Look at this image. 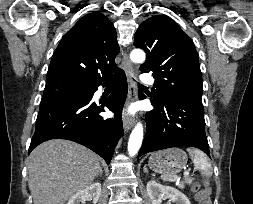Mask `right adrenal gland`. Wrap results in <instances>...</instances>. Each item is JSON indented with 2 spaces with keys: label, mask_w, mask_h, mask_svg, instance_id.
I'll use <instances>...</instances> for the list:
<instances>
[{
  "label": "right adrenal gland",
  "mask_w": 253,
  "mask_h": 204,
  "mask_svg": "<svg viewBox=\"0 0 253 204\" xmlns=\"http://www.w3.org/2000/svg\"><path fill=\"white\" fill-rule=\"evenodd\" d=\"M98 176H101V177L103 176V170H102V167H100V171H99V174L97 175V177H98Z\"/></svg>",
  "instance_id": "2a0ac1e0"
}]
</instances>
